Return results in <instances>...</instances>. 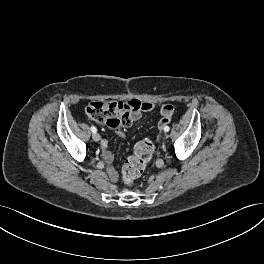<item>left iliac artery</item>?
Returning <instances> with one entry per match:
<instances>
[{
    "label": "left iliac artery",
    "instance_id": "1",
    "mask_svg": "<svg viewBox=\"0 0 264 264\" xmlns=\"http://www.w3.org/2000/svg\"><path fill=\"white\" fill-rule=\"evenodd\" d=\"M169 130H170L169 126H165V127H164V131H165V132H168Z\"/></svg>",
    "mask_w": 264,
    "mask_h": 264
}]
</instances>
